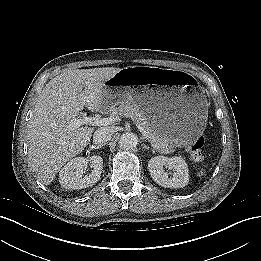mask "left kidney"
<instances>
[{
	"label": "left kidney",
	"mask_w": 261,
	"mask_h": 261,
	"mask_svg": "<svg viewBox=\"0 0 261 261\" xmlns=\"http://www.w3.org/2000/svg\"><path fill=\"white\" fill-rule=\"evenodd\" d=\"M164 168L172 170V176H169ZM148 170L152 179L163 187L182 188L189 182L188 166L181 156L172 158L165 156L153 157L148 162Z\"/></svg>",
	"instance_id": "obj_1"
}]
</instances>
